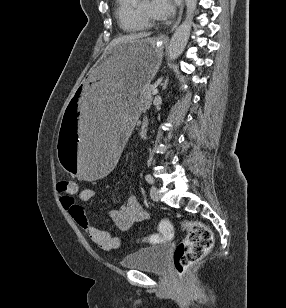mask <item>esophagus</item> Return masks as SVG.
Here are the masks:
<instances>
[{
    "label": "esophagus",
    "mask_w": 286,
    "mask_h": 308,
    "mask_svg": "<svg viewBox=\"0 0 286 308\" xmlns=\"http://www.w3.org/2000/svg\"><path fill=\"white\" fill-rule=\"evenodd\" d=\"M183 10H184V3L182 2L180 9H179V15H178L176 22L173 24V26L171 27L170 31L167 32V34H164V35L161 36V39L167 40L169 33H172L175 30V28L178 26V24L181 21Z\"/></svg>",
    "instance_id": "obj_1"
}]
</instances>
